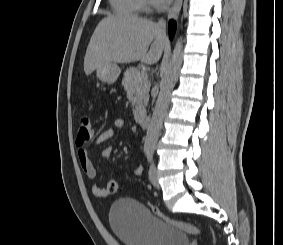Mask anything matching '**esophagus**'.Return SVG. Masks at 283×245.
Instances as JSON below:
<instances>
[{
  "label": "esophagus",
  "instance_id": "obj_1",
  "mask_svg": "<svg viewBox=\"0 0 283 245\" xmlns=\"http://www.w3.org/2000/svg\"><path fill=\"white\" fill-rule=\"evenodd\" d=\"M183 0H175L174 4L169 10L168 19L177 18L181 7H182Z\"/></svg>",
  "mask_w": 283,
  "mask_h": 245
}]
</instances>
